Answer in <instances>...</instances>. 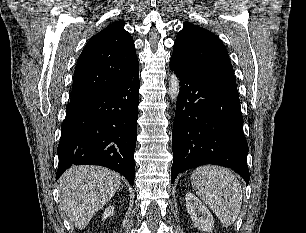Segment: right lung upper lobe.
Listing matches in <instances>:
<instances>
[{
  "label": "right lung upper lobe",
  "mask_w": 306,
  "mask_h": 233,
  "mask_svg": "<svg viewBox=\"0 0 306 233\" xmlns=\"http://www.w3.org/2000/svg\"><path fill=\"white\" fill-rule=\"evenodd\" d=\"M124 24L115 21L87 42L75 68L70 102L106 92L139 68L133 39Z\"/></svg>",
  "instance_id": "cb5924a9"
}]
</instances>
